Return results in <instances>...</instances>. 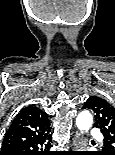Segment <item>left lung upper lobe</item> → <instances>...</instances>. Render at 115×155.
<instances>
[{
	"label": "left lung upper lobe",
	"instance_id": "5c2ea615",
	"mask_svg": "<svg viewBox=\"0 0 115 155\" xmlns=\"http://www.w3.org/2000/svg\"><path fill=\"white\" fill-rule=\"evenodd\" d=\"M83 108L94 111V126L100 128L104 136V148L98 155H115V108L96 96L89 97Z\"/></svg>",
	"mask_w": 115,
	"mask_h": 155
}]
</instances>
